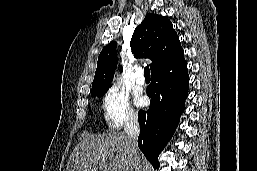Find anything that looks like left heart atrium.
<instances>
[{"label": "left heart atrium", "instance_id": "39dd6f15", "mask_svg": "<svg viewBox=\"0 0 257 171\" xmlns=\"http://www.w3.org/2000/svg\"><path fill=\"white\" fill-rule=\"evenodd\" d=\"M137 104L140 106H143L145 104V100L143 98H138L137 99Z\"/></svg>", "mask_w": 257, "mask_h": 171}]
</instances>
